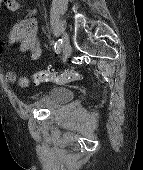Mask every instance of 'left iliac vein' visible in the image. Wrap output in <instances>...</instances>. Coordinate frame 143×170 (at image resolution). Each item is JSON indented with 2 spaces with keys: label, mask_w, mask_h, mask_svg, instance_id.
<instances>
[{
  "label": "left iliac vein",
  "mask_w": 143,
  "mask_h": 170,
  "mask_svg": "<svg viewBox=\"0 0 143 170\" xmlns=\"http://www.w3.org/2000/svg\"><path fill=\"white\" fill-rule=\"evenodd\" d=\"M62 50H63V60L66 61L67 58L72 53V48L69 43V37L67 34L64 35L63 43H62Z\"/></svg>",
  "instance_id": "left-iliac-vein-1"
}]
</instances>
